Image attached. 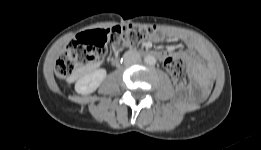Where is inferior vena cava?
Returning <instances> with one entry per match:
<instances>
[{"label":"inferior vena cava","mask_w":261,"mask_h":150,"mask_svg":"<svg viewBox=\"0 0 261 150\" xmlns=\"http://www.w3.org/2000/svg\"><path fill=\"white\" fill-rule=\"evenodd\" d=\"M141 60L140 54L137 51L129 50L124 54V64L131 65L138 63Z\"/></svg>","instance_id":"obj_1"}]
</instances>
